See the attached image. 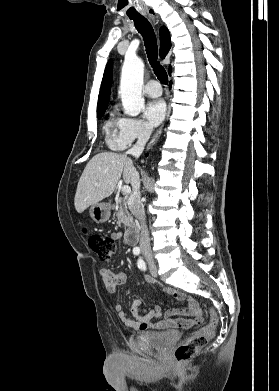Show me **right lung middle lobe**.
<instances>
[{"label": "right lung middle lobe", "instance_id": "right-lung-middle-lobe-1", "mask_svg": "<svg viewBox=\"0 0 279 391\" xmlns=\"http://www.w3.org/2000/svg\"><path fill=\"white\" fill-rule=\"evenodd\" d=\"M105 113V109L97 111V117L100 118Z\"/></svg>", "mask_w": 279, "mask_h": 391}]
</instances>
